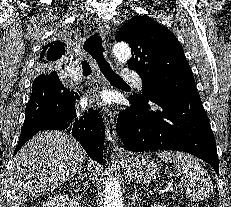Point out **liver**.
Instances as JSON below:
<instances>
[{
	"label": "liver",
	"mask_w": 231,
	"mask_h": 207,
	"mask_svg": "<svg viewBox=\"0 0 231 207\" xmlns=\"http://www.w3.org/2000/svg\"><path fill=\"white\" fill-rule=\"evenodd\" d=\"M86 152L71 135L39 132L17 153L10 173L12 207L53 191L79 170Z\"/></svg>",
	"instance_id": "1"
}]
</instances>
